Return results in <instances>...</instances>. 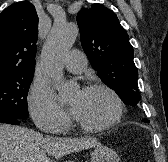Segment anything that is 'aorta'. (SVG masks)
<instances>
[{
    "mask_svg": "<svg viewBox=\"0 0 168 162\" xmlns=\"http://www.w3.org/2000/svg\"><path fill=\"white\" fill-rule=\"evenodd\" d=\"M78 33L79 30L75 24L54 23L41 52L43 66L54 81L59 96L63 99L69 98L74 88L63 78L61 60L73 46Z\"/></svg>",
    "mask_w": 168,
    "mask_h": 162,
    "instance_id": "obj_1",
    "label": "aorta"
}]
</instances>
